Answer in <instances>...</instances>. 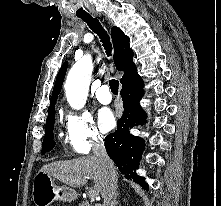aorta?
I'll list each match as a JSON object with an SVG mask.
<instances>
[{"label": "aorta", "mask_w": 221, "mask_h": 206, "mask_svg": "<svg viewBox=\"0 0 221 206\" xmlns=\"http://www.w3.org/2000/svg\"><path fill=\"white\" fill-rule=\"evenodd\" d=\"M92 71L93 64L89 56H85L76 62L69 71L65 83V92L67 101L73 109L78 110L84 107L88 96Z\"/></svg>", "instance_id": "obj_1"}]
</instances>
